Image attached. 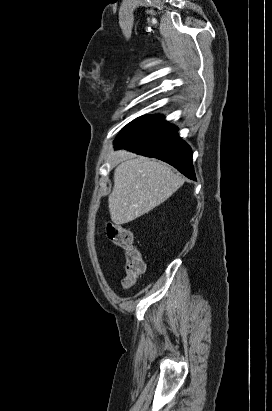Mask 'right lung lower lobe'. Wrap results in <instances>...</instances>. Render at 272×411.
<instances>
[{"mask_svg":"<svg viewBox=\"0 0 272 411\" xmlns=\"http://www.w3.org/2000/svg\"><path fill=\"white\" fill-rule=\"evenodd\" d=\"M114 145L117 149L165 161L189 179L196 180L191 148L178 136V128L165 120L123 139H117Z\"/></svg>","mask_w":272,"mask_h":411,"instance_id":"right-lung-lower-lobe-1","label":"right lung lower lobe"}]
</instances>
